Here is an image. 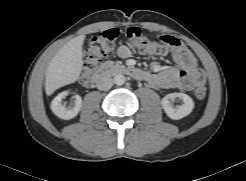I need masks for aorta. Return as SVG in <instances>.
I'll return each mask as SVG.
<instances>
[{
  "label": "aorta",
  "mask_w": 246,
  "mask_h": 181,
  "mask_svg": "<svg viewBox=\"0 0 246 181\" xmlns=\"http://www.w3.org/2000/svg\"><path fill=\"white\" fill-rule=\"evenodd\" d=\"M125 80H126V78H125V76L122 75V74H117V75H115L114 78H113V82H114L116 85H118V86L123 85V84L125 83Z\"/></svg>",
  "instance_id": "aorta-1"
}]
</instances>
